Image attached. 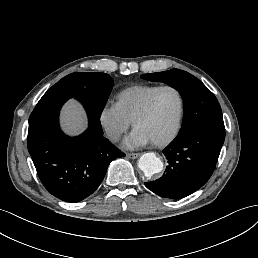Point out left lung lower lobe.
I'll return each mask as SVG.
<instances>
[{"label":"left lung lower lobe","mask_w":258,"mask_h":258,"mask_svg":"<svg viewBox=\"0 0 258 258\" xmlns=\"http://www.w3.org/2000/svg\"><path fill=\"white\" fill-rule=\"evenodd\" d=\"M225 139V130L199 129L174 139L163 150L169 165L162 177L145 186L163 198L181 199L200 189L211 177Z\"/></svg>","instance_id":"0a47b994"}]
</instances>
